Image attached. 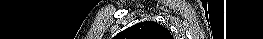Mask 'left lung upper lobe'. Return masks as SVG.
<instances>
[{
    "mask_svg": "<svg viewBox=\"0 0 263 39\" xmlns=\"http://www.w3.org/2000/svg\"><path fill=\"white\" fill-rule=\"evenodd\" d=\"M117 39H173L170 32L154 21L137 23L118 34Z\"/></svg>",
    "mask_w": 263,
    "mask_h": 39,
    "instance_id": "left-lung-upper-lobe-1",
    "label": "left lung upper lobe"
}]
</instances>
